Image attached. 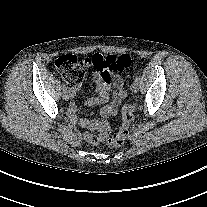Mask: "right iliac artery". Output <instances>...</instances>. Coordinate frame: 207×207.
Wrapping results in <instances>:
<instances>
[{"label":"right iliac artery","instance_id":"right-iliac-artery-1","mask_svg":"<svg viewBox=\"0 0 207 207\" xmlns=\"http://www.w3.org/2000/svg\"><path fill=\"white\" fill-rule=\"evenodd\" d=\"M62 88H63V90H66V87H65V85H63V87H62Z\"/></svg>","mask_w":207,"mask_h":207}]
</instances>
